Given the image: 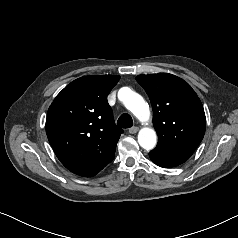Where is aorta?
Returning <instances> with one entry per match:
<instances>
[{
    "label": "aorta",
    "instance_id": "aorta-1",
    "mask_svg": "<svg viewBox=\"0 0 238 238\" xmlns=\"http://www.w3.org/2000/svg\"><path fill=\"white\" fill-rule=\"evenodd\" d=\"M119 99L125 107L131 111L141 122H146L150 118L148 103L143 97L129 88H121L118 92ZM138 143L145 150H152L157 143V135L154 129L149 127L142 128L138 133Z\"/></svg>",
    "mask_w": 238,
    "mask_h": 238
}]
</instances>
